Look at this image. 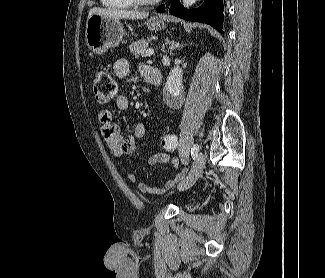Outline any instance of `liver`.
<instances>
[{
  "label": "liver",
  "instance_id": "1",
  "mask_svg": "<svg viewBox=\"0 0 325 278\" xmlns=\"http://www.w3.org/2000/svg\"><path fill=\"white\" fill-rule=\"evenodd\" d=\"M93 14H99L104 17L108 18H115V19H144L148 17V12H142V11H127V10H117L112 8H99L94 7L90 9L88 18Z\"/></svg>",
  "mask_w": 325,
  "mask_h": 278
}]
</instances>
